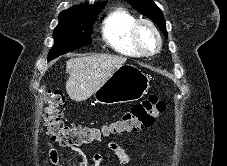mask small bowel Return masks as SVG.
<instances>
[{
  "label": "small bowel",
  "mask_w": 227,
  "mask_h": 166,
  "mask_svg": "<svg viewBox=\"0 0 227 166\" xmlns=\"http://www.w3.org/2000/svg\"><path fill=\"white\" fill-rule=\"evenodd\" d=\"M108 147L114 153L116 161L119 162L121 165L125 166L130 162L129 154L119 144H117L116 142H109ZM73 151L79 157V162L77 166H88V159L86 155L79 148H73ZM101 160V154L94 153L92 155V161L94 162L95 166H98ZM48 161L54 166H63L59 162L58 152L51 146V144L48 153Z\"/></svg>",
  "instance_id": "obj_1"
}]
</instances>
